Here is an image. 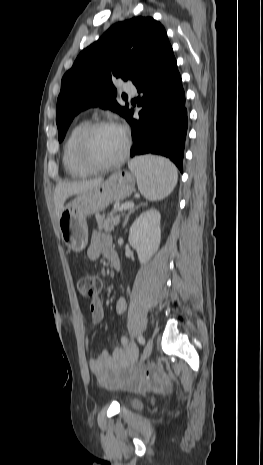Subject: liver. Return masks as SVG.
I'll list each match as a JSON object with an SVG mask.
<instances>
[{
	"instance_id": "6515ba94",
	"label": "liver",
	"mask_w": 263,
	"mask_h": 465,
	"mask_svg": "<svg viewBox=\"0 0 263 465\" xmlns=\"http://www.w3.org/2000/svg\"><path fill=\"white\" fill-rule=\"evenodd\" d=\"M102 183V178L78 182L59 183L54 190V205L57 218L59 219V216L64 208V204L69 197L88 191Z\"/></svg>"
}]
</instances>
